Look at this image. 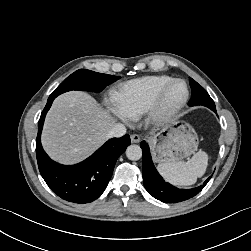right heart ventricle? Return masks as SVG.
<instances>
[{
    "label": "right heart ventricle",
    "instance_id": "e07e8e85",
    "mask_svg": "<svg viewBox=\"0 0 251 251\" xmlns=\"http://www.w3.org/2000/svg\"><path fill=\"white\" fill-rule=\"evenodd\" d=\"M173 78L151 75L123 83L115 92L117 108L128 118H137L147 112L159 89Z\"/></svg>",
    "mask_w": 251,
    "mask_h": 251
}]
</instances>
